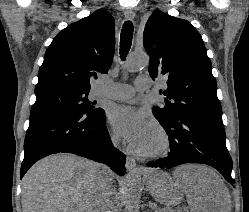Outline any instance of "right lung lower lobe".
Instances as JSON below:
<instances>
[{
	"label": "right lung lower lobe",
	"instance_id": "98d812e1",
	"mask_svg": "<svg viewBox=\"0 0 249 212\" xmlns=\"http://www.w3.org/2000/svg\"><path fill=\"white\" fill-rule=\"evenodd\" d=\"M85 115L68 110H37L30 114L20 178L39 159L53 153H73L125 173L126 157L112 145L105 111Z\"/></svg>",
	"mask_w": 249,
	"mask_h": 212
}]
</instances>
